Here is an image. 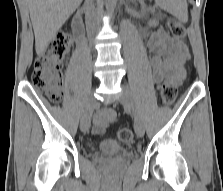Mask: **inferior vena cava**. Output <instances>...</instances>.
<instances>
[{
    "label": "inferior vena cava",
    "mask_w": 223,
    "mask_h": 191,
    "mask_svg": "<svg viewBox=\"0 0 223 191\" xmlns=\"http://www.w3.org/2000/svg\"><path fill=\"white\" fill-rule=\"evenodd\" d=\"M86 27L89 34L98 28V20L95 14V7L92 0H86Z\"/></svg>",
    "instance_id": "obj_1"
}]
</instances>
